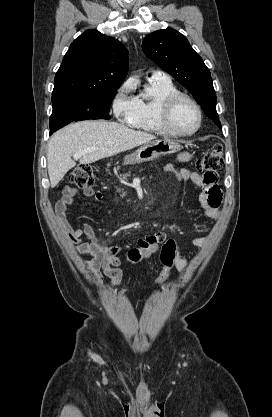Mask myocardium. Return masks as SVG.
I'll use <instances>...</instances> for the list:
<instances>
[{
  "instance_id": "1",
  "label": "myocardium",
  "mask_w": 272,
  "mask_h": 417,
  "mask_svg": "<svg viewBox=\"0 0 272 417\" xmlns=\"http://www.w3.org/2000/svg\"><path fill=\"white\" fill-rule=\"evenodd\" d=\"M181 101H187L195 108L197 115H198V123L196 127L190 132H181L175 129L172 124V115L176 105ZM160 123L162 127L173 136L177 137H189L194 135L201 127L203 121V113L200 105L197 101L192 98L191 96L182 93L176 92L169 95L161 104L160 112H159Z\"/></svg>"
}]
</instances>
